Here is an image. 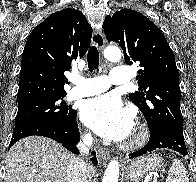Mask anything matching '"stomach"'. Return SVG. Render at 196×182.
Instances as JSON below:
<instances>
[{"mask_svg": "<svg viewBox=\"0 0 196 182\" xmlns=\"http://www.w3.org/2000/svg\"><path fill=\"white\" fill-rule=\"evenodd\" d=\"M162 167L164 162L159 155L145 156L132 161L125 170V176L132 182H139L149 172L157 171Z\"/></svg>", "mask_w": 196, "mask_h": 182, "instance_id": "stomach-1", "label": "stomach"}]
</instances>
